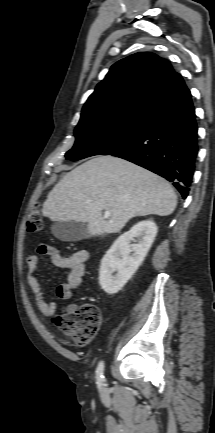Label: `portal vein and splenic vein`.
<instances>
[{
  "label": "portal vein and splenic vein",
  "instance_id": "18ae733b",
  "mask_svg": "<svg viewBox=\"0 0 215 433\" xmlns=\"http://www.w3.org/2000/svg\"><path fill=\"white\" fill-rule=\"evenodd\" d=\"M110 215H111V213L109 211H105L104 212V217L105 218H108Z\"/></svg>",
  "mask_w": 215,
  "mask_h": 433
}]
</instances>
